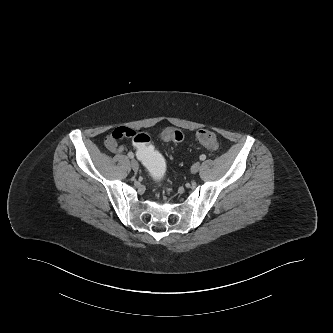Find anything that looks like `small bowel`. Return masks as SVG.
I'll use <instances>...</instances> for the list:
<instances>
[{
    "instance_id": "c3829d8e",
    "label": "small bowel",
    "mask_w": 333,
    "mask_h": 333,
    "mask_svg": "<svg viewBox=\"0 0 333 333\" xmlns=\"http://www.w3.org/2000/svg\"><path fill=\"white\" fill-rule=\"evenodd\" d=\"M135 139H136V132L132 127L117 126L114 127L110 131L109 136L105 138V145L111 153L119 154L127 149L126 146L121 144H123L125 141L133 142Z\"/></svg>"
}]
</instances>
